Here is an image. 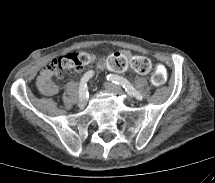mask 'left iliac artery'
I'll list each match as a JSON object with an SVG mask.
<instances>
[{"instance_id":"left-iliac-artery-1","label":"left iliac artery","mask_w":215,"mask_h":183,"mask_svg":"<svg viewBox=\"0 0 215 183\" xmlns=\"http://www.w3.org/2000/svg\"><path fill=\"white\" fill-rule=\"evenodd\" d=\"M106 78H107L108 81H111V82H113L115 84L123 86L125 91L130 96H134L138 100L143 99V96L138 91H136L135 88L125 78L120 77L118 75H114V74H109V75H107Z\"/></svg>"}]
</instances>
